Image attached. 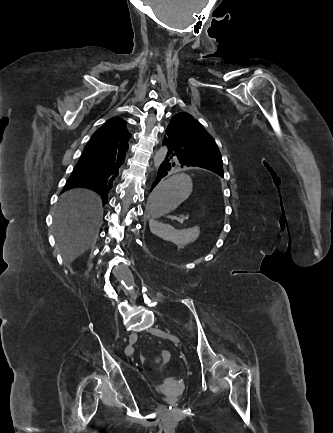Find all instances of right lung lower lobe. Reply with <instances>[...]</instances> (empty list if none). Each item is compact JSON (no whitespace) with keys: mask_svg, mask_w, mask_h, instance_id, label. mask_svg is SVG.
<instances>
[{"mask_svg":"<svg viewBox=\"0 0 333 433\" xmlns=\"http://www.w3.org/2000/svg\"><path fill=\"white\" fill-rule=\"evenodd\" d=\"M96 143V138L87 143L63 191L75 187L89 188L101 193L105 205L129 146L99 148Z\"/></svg>","mask_w":333,"mask_h":433,"instance_id":"98d812e1","label":"right lung lower lobe"}]
</instances>
